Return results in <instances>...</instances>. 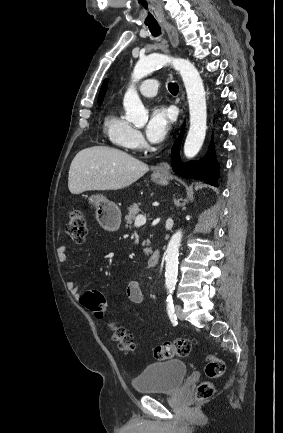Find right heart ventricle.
<instances>
[{
	"mask_svg": "<svg viewBox=\"0 0 283 433\" xmlns=\"http://www.w3.org/2000/svg\"><path fill=\"white\" fill-rule=\"evenodd\" d=\"M103 129L111 141L121 144L124 142L132 127L117 111H112L104 117Z\"/></svg>",
	"mask_w": 283,
	"mask_h": 433,
	"instance_id": "right-heart-ventricle-1",
	"label": "right heart ventricle"
}]
</instances>
